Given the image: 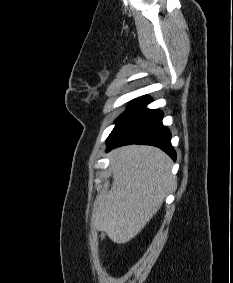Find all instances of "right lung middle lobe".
Wrapping results in <instances>:
<instances>
[{"mask_svg":"<svg viewBox=\"0 0 233 283\" xmlns=\"http://www.w3.org/2000/svg\"><path fill=\"white\" fill-rule=\"evenodd\" d=\"M136 101H133L130 103V105L128 106L126 112H124L121 116H119V118L116 121V126L121 122V120L125 117V115L129 112V110L132 108V106L135 104ZM115 126V128H116ZM114 128V129H115Z\"/></svg>","mask_w":233,"mask_h":283,"instance_id":"right-lung-middle-lobe-1","label":"right lung middle lobe"}]
</instances>
